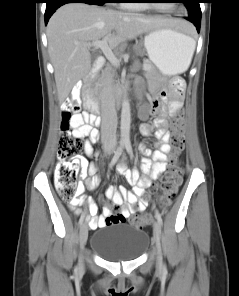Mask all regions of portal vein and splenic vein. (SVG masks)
<instances>
[{
	"mask_svg": "<svg viewBox=\"0 0 239 296\" xmlns=\"http://www.w3.org/2000/svg\"><path fill=\"white\" fill-rule=\"evenodd\" d=\"M88 47L99 48L104 53L105 57L110 61V63L116 67L119 66V60L112 52L111 47L108 45V38L102 40L93 41L92 43L87 44ZM144 70H148V66L144 65Z\"/></svg>",
	"mask_w": 239,
	"mask_h": 296,
	"instance_id": "1",
	"label": "portal vein and splenic vein"
}]
</instances>
